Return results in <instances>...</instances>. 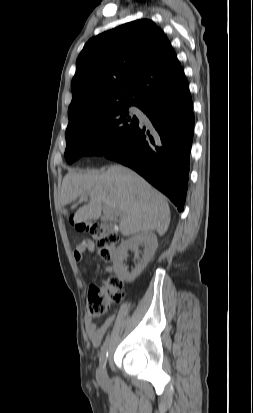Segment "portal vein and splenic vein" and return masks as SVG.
<instances>
[{"mask_svg":"<svg viewBox=\"0 0 253 413\" xmlns=\"http://www.w3.org/2000/svg\"><path fill=\"white\" fill-rule=\"evenodd\" d=\"M86 196H84V198H85ZM103 213L106 215V216H108V217H113V216H117L118 215V212L117 211H115L114 209H112V208H109V207H104L103 208Z\"/></svg>","mask_w":253,"mask_h":413,"instance_id":"1","label":"portal vein and splenic vein"}]
</instances>
